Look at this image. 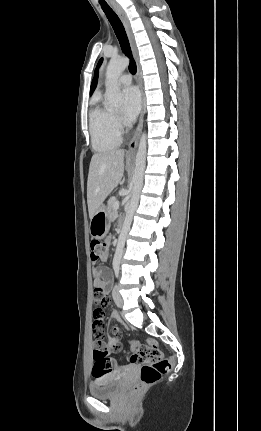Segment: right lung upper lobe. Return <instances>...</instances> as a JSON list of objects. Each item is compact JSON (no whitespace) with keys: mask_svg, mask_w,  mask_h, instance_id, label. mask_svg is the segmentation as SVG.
Listing matches in <instances>:
<instances>
[{"mask_svg":"<svg viewBox=\"0 0 261 431\" xmlns=\"http://www.w3.org/2000/svg\"><path fill=\"white\" fill-rule=\"evenodd\" d=\"M97 80H98V72L95 74L94 79L92 81L91 87H90V94L94 91V89L96 88L97 85Z\"/></svg>","mask_w":261,"mask_h":431,"instance_id":"1","label":"right lung upper lobe"}]
</instances>
